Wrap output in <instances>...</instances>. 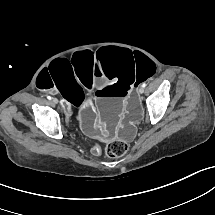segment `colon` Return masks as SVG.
I'll return each mask as SVG.
<instances>
[{
  "label": "colon",
  "mask_w": 215,
  "mask_h": 215,
  "mask_svg": "<svg viewBox=\"0 0 215 215\" xmlns=\"http://www.w3.org/2000/svg\"><path fill=\"white\" fill-rule=\"evenodd\" d=\"M127 144L122 141L111 142L105 147V154L108 157H119L126 153Z\"/></svg>",
  "instance_id": "5ec220e1"
}]
</instances>
